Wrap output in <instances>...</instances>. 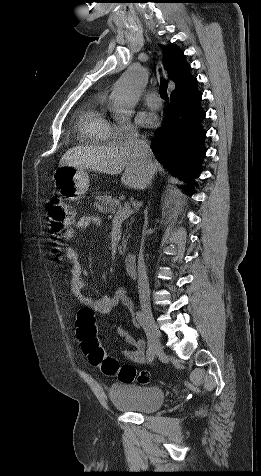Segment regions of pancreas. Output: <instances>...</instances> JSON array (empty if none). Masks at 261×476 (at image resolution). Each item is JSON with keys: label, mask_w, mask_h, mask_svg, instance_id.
<instances>
[{"label": "pancreas", "mask_w": 261, "mask_h": 476, "mask_svg": "<svg viewBox=\"0 0 261 476\" xmlns=\"http://www.w3.org/2000/svg\"><path fill=\"white\" fill-rule=\"evenodd\" d=\"M98 200L103 207V210L109 214H115L118 210L122 209V204L119 199L112 198L109 195L99 196ZM127 240L123 238L122 244L119 246L120 253H125L127 251L126 248Z\"/></svg>", "instance_id": "pancreas-1"}]
</instances>
